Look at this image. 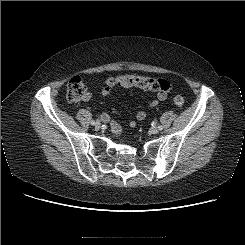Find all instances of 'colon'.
Segmentation results:
<instances>
[{"mask_svg":"<svg viewBox=\"0 0 245 245\" xmlns=\"http://www.w3.org/2000/svg\"><path fill=\"white\" fill-rule=\"evenodd\" d=\"M106 84L108 88L136 87L146 91L157 92L159 94H167L171 90V84L167 80L134 74H124L117 77L109 78ZM86 93V85L81 77L74 76L68 81L66 86V95L69 101H81L82 99H84ZM173 102L178 107L184 105V99L181 96L174 97Z\"/></svg>","mask_w":245,"mask_h":245,"instance_id":"obj_1","label":"colon"}]
</instances>
